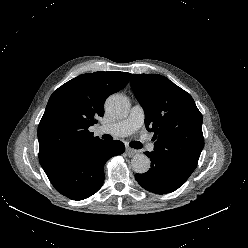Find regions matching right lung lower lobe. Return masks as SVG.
Here are the masks:
<instances>
[{
    "mask_svg": "<svg viewBox=\"0 0 248 248\" xmlns=\"http://www.w3.org/2000/svg\"><path fill=\"white\" fill-rule=\"evenodd\" d=\"M124 151V144L117 140L80 144L45 173L62 195L72 200H83L95 194L103 185L105 163Z\"/></svg>",
    "mask_w": 248,
    "mask_h": 248,
    "instance_id": "98d812e1",
    "label": "right lung lower lobe"
}]
</instances>
